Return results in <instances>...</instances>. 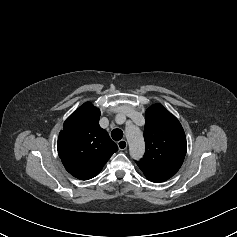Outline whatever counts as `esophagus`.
<instances>
[{
	"label": "esophagus",
	"mask_w": 237,
	"mask_h": 237,
	"mask_svg": "<svg viewBox=\"0 0 237 237\" xmlns=\"http://www.w3.org/2000/svg\"><path fill=\"white\" fill-rule=\"evenodd\" d=\"M117 145H118V148L120 150H126V148H127V141L122 139V140L118 141Z\"/></svg>",
	"instance_id": "34e87169"
}]
</instances>
